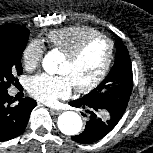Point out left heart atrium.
<instances>
[{"instance_id":"39dd6f15","label":"left heart atrium","mask_w":153,"mask_h":153,"mask_svg":"<svg viewBox=\"0 0 153 153\" xmlns=\"http://www.w3.org/2000/svg\"><path fill=\"white\" fill-rule=\"evenodd\" d=\"M72 88L69 78L64 74L43 73L33 77L28 85L30 94L47 105H55L58 100L67 98Z\"/></svg>"}]
</instances>
